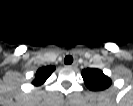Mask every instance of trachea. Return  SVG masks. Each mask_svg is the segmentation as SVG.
<instances>
[{
	"instance_id": "trachea-1",
	"label": "trachea",
	"mask_w": 133,
	"mask_h": 106,
	"mask_svg": "<svg viewBox=\"0 0 133 106\" xmlns=\"http://www.w3.org/2000/svg\"><path fill=\"white\" fill-rule=\"evenodd\" d=\"M72 62H73V57L72 56L68 55V56L65 57V59H64L65 64L69 65V64H72Z\"/></svg>"
}]
</instances>
